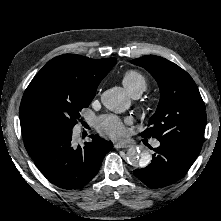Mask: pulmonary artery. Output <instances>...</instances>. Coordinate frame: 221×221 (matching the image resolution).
I'll return each instance as SVG.
<instances>
[{"label":"pulmonary artery","instance_id":"obj_1","mask_svg":"<svg viewBox=\"0 0 221 221\" xmlns=\"http://www.w3.org/2000/svg\"><path fill=\"white\" fill-rule=\"evenodd\" d=\"M141 93L142 92H140V91H134L130 95H131L132 98L137 99V98L140 97ZM154 146L155 147H159L160 146V142L159 141H155L154 142Z\"/></svg>","mask_w":221,"mask_h":221}]
</instances>
